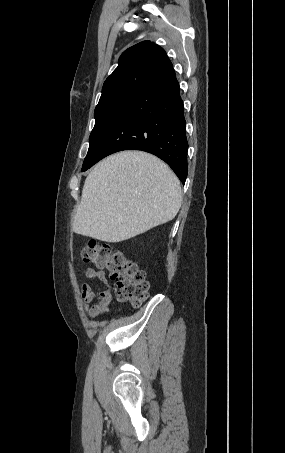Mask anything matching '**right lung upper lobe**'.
<instances>
[{
    "instance_id": "cb5924a9",
    "label": "right lung upper lobe",
    "mask_w": 285,
    "mask_h": 453,
    "mask_svg": "<svg viewBox=\"0 0 285 453\" xmlns=\"http://www.w3.org/2000/svg\"><path fill=\"white\" fill-rule=\"evenodd\" d=\"M164 49L150 41L140 42L122 53L119 65L106 79L99 103L135 93L153 77L172 68Z\"/></svg>"
}]
</instances>
